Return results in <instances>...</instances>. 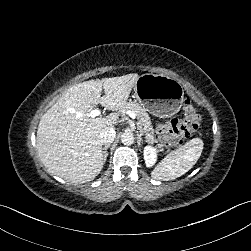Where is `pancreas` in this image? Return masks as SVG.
Instances as JSON below:
<instances>
[{
	"instance_id": "1",
	"label": "pancreas",
	"mask_w": 251,
	"mask_h": 251,
	"mask_svg": "<svg viewBox=\"0 0 251 251\" xmlns=\"http://www.w3.org/2000/svg\"><path fill=\"white\" fill-rule=\"evenodd\" d=\"M117 111L125 112L130 110L135 113L138 120L137 125L141 128V132L149 143H156L157 140L154 137V130L151 125V120L145 109L136 101H124L117 105Z\"/></svg>"
}]
</instances>
